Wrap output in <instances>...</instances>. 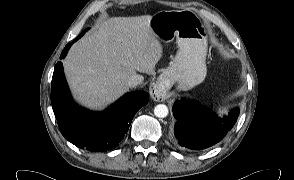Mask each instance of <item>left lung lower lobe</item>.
<instances>
[{
    "label": "left lung lower lobe",
    "mask_w": 294,
    "mask_h": 180,
    "mask_svg": "<svg viewBox=\"0 0 294 180\" xmlns=\"http://www.w3.org/2000/svg\"><path fill=\"white\" fill-rule=\"evenodd\" d=\"M177 119L175 136L178 144L190 150H203L218 143L235 124L238 111L227 118L216 119L204 113L202 108L191 101H177L173 107Z\"/></svg>",
    "instance_id": "1"
}]
</instances>
